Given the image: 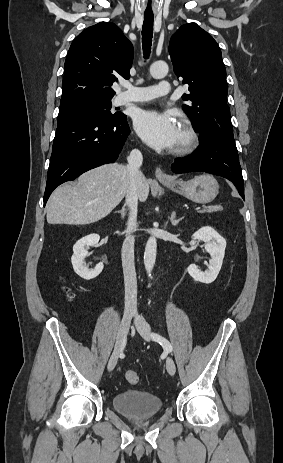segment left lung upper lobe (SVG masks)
<instances>
[{
    "mask_svg": "<svg viewBox=\"0 0 283 463\" xmlns=\"http://www.w3.org/2000/svg\"><path fill=\"white\" fill-rule=\"evenodd\" d=\"M169 54L177 77L189 85L182 96L183 110L201 137H219L235 145L228 85L221 50L216 41L195 23L182 25L171 37Z\"/></svg>",
    "mask_w": 283,
    "mask_h": 463,
    "instance_id": "obj_1",
    "label": "left lung upper lobe"
}]
</instances>
